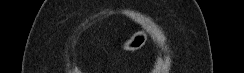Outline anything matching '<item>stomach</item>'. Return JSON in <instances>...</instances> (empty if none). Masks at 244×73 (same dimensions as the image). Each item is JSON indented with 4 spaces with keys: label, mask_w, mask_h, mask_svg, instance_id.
Wrapping results in <instances>:
<instances>
[{
    "label": "stomach",
    "mask_w": 244,
    "mask_h": 73,
    "mask_svg": "<svg viewBox=\"0 0 244 73\" xmlns=\"http://www.w3.org/2000/svg\"><path fill=\"white\" fill-rule=\"evenodd\" d=\"M147 41V34L145 31L141 30L136 32L130 39H128L123 45L122 48L125 51H137L141 49Z\"/></svg>",
    "instance_id": "obj_1"
}]
</instances>
